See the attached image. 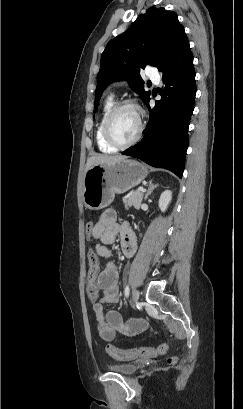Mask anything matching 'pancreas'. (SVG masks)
I'll return each instance as SVG.
<instances>
[{
  "mask_svg": "<svg viewBox=\"0 0 243 409\" xmlns=\"http://www.w3.org/2000/svg\"><path fill=\"white\" fill-rule=\"evenodd\" d=\"M143 200V192L136 190L131 192L127 197L123 198V203L125 204V209L128 210L130 207L139 209Z\"/></svg>",
  "mask_w": 243,
  "mask_h": 409,
  "instance_id": "cf45deb5",
  "label": "pancreas"
}]
</instances>
